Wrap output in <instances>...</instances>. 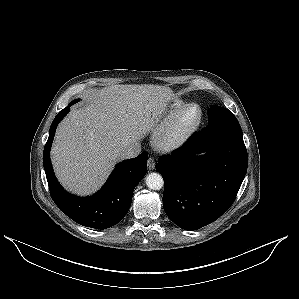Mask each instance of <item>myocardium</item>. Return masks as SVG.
<instances>
[{"mask_svg": "<svg viewBox=\"0 0 299 299\" xmlns=\"http://www.w3.org/2000/svg\"><path fill=\"white\" fill-rule=\"evenodd\" d=\"M192 108L198 110L196 120L187 127H182L181 122L184 115ZM203 119V110L196 103L186 104L176 112L154 135L157 146L163 150H171L182 146L198 130Z\"/></svg>", "mask_w": 299, "mask_h": 299, "instance_id": "1", "label": "myocardium"}]
</instances>
